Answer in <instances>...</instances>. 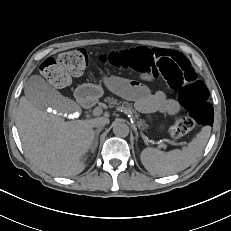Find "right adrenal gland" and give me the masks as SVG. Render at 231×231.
<instances>
[{
    "mask_svg": "<svg viewBox=\"0 0 231 231\" xmlns=\"http://www.w3.org/2000/svg\"><path fill=\"white\" fill-rule=\"evenodd\" d=\"M102 128H99L95 131V137H94V141H93V144H92V152H94L98 146V136H99V133L101 132Z\"/></svg>",
    "mask_w": 231,
    "mask_h": 231,
    "instance_id": "2a0ac1e0",
    "label": "right adrenal gland"
}]
</instances>
